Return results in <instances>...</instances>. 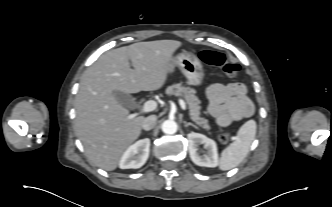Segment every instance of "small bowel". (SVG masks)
I'll return each instance as SVG.
<instances>
[{"label": "small bowel", "mask_w": 332, "mask_h": 207, "mask_svg": "<svg viewBox=\"0 0 332 207\" xmlns=\"http://www.w3.org/2000/svg\"><path fill=\"white\" fill-rule=\"evenodd\" d=\"M210 101L208 111L219 126L226 127L235 121L252 116L254 105L241 83L212 84L207 89Z\"/></svg>", "instance_id": "small-bowel-1"}]
</instances>
